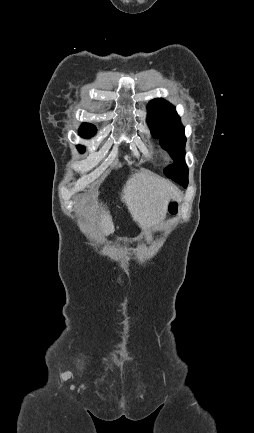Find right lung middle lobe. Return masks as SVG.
Instances as JSON below:
<instances>
[{"instance_id":"1","label":"right lung middle lobe","mask_w":254,"mask_h":433,"mask_svg":"<svg viewBox=\"0 0 254 433\" xmlns=\"http://www.w3.org/2000/svg\"><path fill=\"white\" fill-rule=\"evenodd\" d=\"M79 133L82 137L90 138L91 136H93L96 133V127L92 124H89V123H83L80 130H79ZM78 149L81 152H84V150H85V148L81 145L78 146Z\"/></svg>"}]
</instances>
